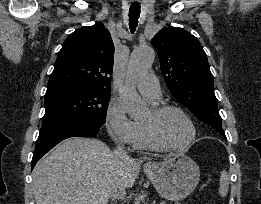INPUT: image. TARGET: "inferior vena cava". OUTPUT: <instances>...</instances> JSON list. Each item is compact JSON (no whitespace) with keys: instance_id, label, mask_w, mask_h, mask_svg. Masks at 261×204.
I'll use <instances>...</instances> for the list:
<instances>
[{"instance_id":"1","label":"inferior vena cava","mask_w":261,"mask_h":204,"mask_svg":"<svg viewBox=\"0 0 261 204\" xmlns=\"http://www.w3.org/2000/svg\"><path fill=\"white\" fill-rule=\"evenodd\" d=\"M117 155L119 159H127L128 155L124 149V147L118 145L117 146ZM109 197L116 201L117 199H124L125 197V187L122 183L116 182L112 185L111 190L109 192Z\"/></svg>"}]
</instances>
